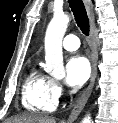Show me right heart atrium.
Listing matches in <instances>:
<instances>
[{
  "label": "right heart atrium",
  "instance_id": "1",
  "mask_svg": "<svg viewBox=\"0 0 118 123\" xmlns=\"http://www.w3.org/2000/svg\"><path fill=\"white\" fill-rule=\"evenodd\" d=\"M52 90L57 99L62 95V87L60 83L55 80H52Z\"/></svg>",
  "mask_w": 118,
  "mask_h": 123
}]
</instances>
